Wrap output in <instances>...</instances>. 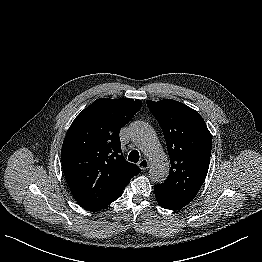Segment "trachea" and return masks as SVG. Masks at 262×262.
<instances>
[{"instance_id": "3493384b", "label": "trachea", "mask_w": 262, "mask_h": 262, "mask_svg": "<svg viewBox=\"0 0 262 262\" xmlns=\"http://www.w3.org/2000/svg\"><path fill=\"white\" fill-rule=\"evenodd\" d=\"M140 155L137 150H133L130 152L128 156V160L134 163H137L139 161Z\"/></svg>"}]
</instances>
